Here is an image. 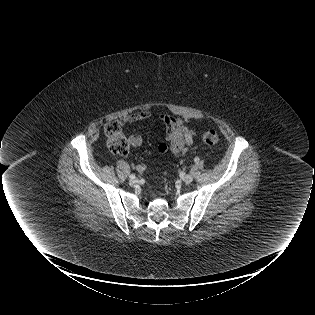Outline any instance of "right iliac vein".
Wrapping results in <instances>:
<instances>
[{
	"label": "right iliac vein",
	"mask_w": 315,
	"mask_h": 315,
	"mask_svg": "<svg viewBox=\"0 0 315 315\" xmlns=\"http://www.w3.org/2000/svg\"><path fill=\"white\" fill-rule=\"evenodd\" d=\"M129 184H130L131 186H136V185L139 184V181H138V179H131V180L129 181Z\"/></svg>",
	"instance_id": "1"
}]
</instances>
